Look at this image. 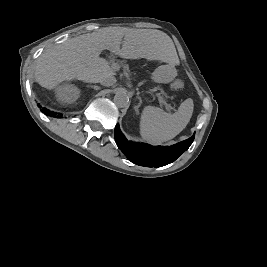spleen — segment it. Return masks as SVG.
Wrapping results in <instances>:
<instances>
[{
  "mask_svg": "<svg viewBox=\"0 0 267 267\" xmlns=\"http://www.w3.org/2000/svg\"><path fill=\"white\" fill-rule=\"evenodd\" d=\"M191 114L186 103H182L174 113H165L160 108L145 106L139 120L140 136L151 144L168 142L186 127Z\"/></svg>",
  "mask_w": 267,
  "mask_h": 267,
  "instance_id": "spleen-1",
  "label": "spleen"
}]
</instances>
